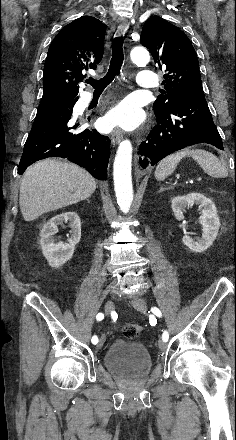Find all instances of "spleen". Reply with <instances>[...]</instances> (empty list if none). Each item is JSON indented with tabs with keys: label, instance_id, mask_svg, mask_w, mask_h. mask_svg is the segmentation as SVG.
<instances>
[{
	"label": "spleen",
	"instance_id": "1",
	"mask_svg": "<svg viewBox=\"0 0 236 440\" xmlns=\"http://www.w3.org/2000/svg\"><path fill=\"white\" fill-rule=\"evenodd\" d=\"M186 156L194 159L198 165L213 177H227L228 172L223 163L212 153L202 149H185L164 158L156 167L155 178L159 181L171 175L177 164Z\"/></svg>",
	"mask_w": 236,
	"mask_h": 440
}]
</instances>
